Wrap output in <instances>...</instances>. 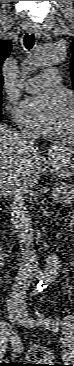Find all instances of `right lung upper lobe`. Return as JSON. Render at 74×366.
Segmentation results:
<instances>
[{"instance_id":"obj_1","label":"right lung upper lobe","mask_w":74,"mask_h":366,"mask_svg":"<svg viewBox=\"0 0 74 366\" xmlns=\"http://www.w3.org/2000/svg\"><path fill=\"white\" fill-rule=\"evenodd\" d=\"M11 51V41L10 40H0V94L2 85L4 83L3 76L1 75V66L4 60L9 56Z\"/></svg>"}]
</instances>
